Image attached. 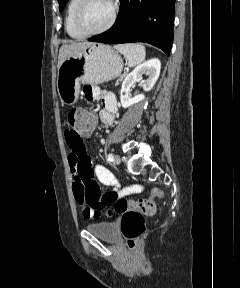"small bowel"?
I'll list each match as a JSON object with an SVG mask.
<instances>
[{
    "label": "small bowel",
    "instance_id": "small-bowel-1",
    "mask_svg": "<svg viewBox=\"0 0 240 288\" xmlns=\"http://www.w3.org/2000/svg\"><path fill=\"white\" fill-rule=\"evenodd\" d=\"M83 93L87 100L101 102L100 119L103 123L111 125L118 108L115 95L94 85H86ZM91 131L80 136L75 135L68 129L64 133L66 143L70 149L68 161L73 194L77 203L83 208V214L87 218L93 217L95 210L93 208L84 209L86 194L90 190L100 191L98 183L112 186L114 188L113 191L120 194L126 192L121 189L120 183L107 168L93 163L88 148L83 141L84 138L91 134Z\"/></svg>",
    "mask_w": 240,
    "mask_h": 288
}]
</instances>
